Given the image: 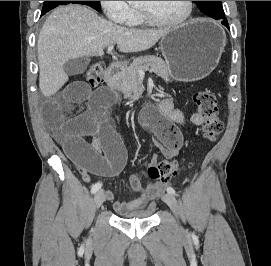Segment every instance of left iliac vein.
Segmentation results:
<instances>
[{"label": "left iliac vein", "instance_id": "1", "mask_svg": "<svg viewBox=\"0 0 271 266\" xmlns=\"http://www.w3.org/2000/svg\"><path fill=\"white\" fill-rule=\"evenodd\" d=\"M162 199L164 200V202L171 208V210L173 211L174 215L179 218L180 215V208L178 205L177 200L175 199V197L171 194H165Z\"/></svg>", "mask_w": 271, "mask_h": 266}]
</instances>
